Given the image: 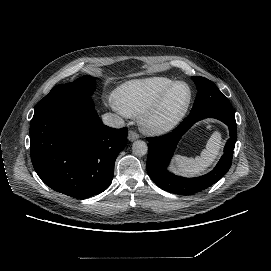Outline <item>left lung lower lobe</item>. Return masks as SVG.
Returning a JSON list of instances; mask_svg holds the SVG:
<instances>
[{"instance_id":"1","label":"left lung lower lobe","mask_w":271,"mask_h":271,"mask_svg":"<svg viewBox=\"0 0 271 271\" xmlns=\"http://www.w3.org/2000/svg\"><path fill=\"white\" fill-rule=\"evenodd\" d=\"M216 118L224 122L230 131L224 154L217 166L208 174L196 178H183L170 173L167 166L180 137L197 121L204 118ZM235 114L221 111H201L190 113L185 120L171 133L160 137L147 138L148 159L147 171L154 183L170 193L190 195L202 191L220 180L230 169L234 144L237 139Z\"/></svg>"}]
</instances>
